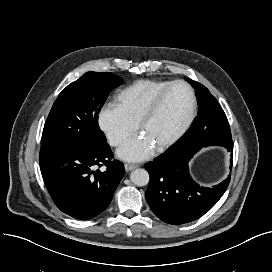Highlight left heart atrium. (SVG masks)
Instances as JSON below:
<instances>
[{
	"mask_svg": "<svg viewBox=\"0 0 272 272\" xmlns=\"http://www.w3.org/2000/svg\"><path fill=\"white\" fill-rule=\"evenodd\" d=\"M154 147L149 138L144 135H136L125 142L117 151V155L126 161L139 162L149 158Z\"/></svg>",
	"mask_w": 272,
	"mask_h": 272,
	"instance_id": "left-heart-atrium-1",
	"label": "left heart atrium"
}]
</instances>
